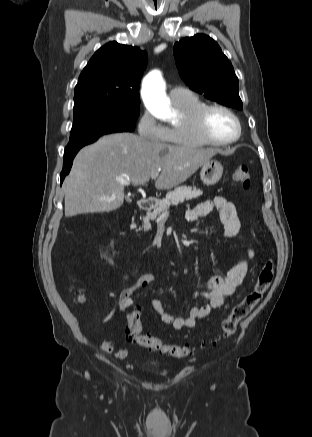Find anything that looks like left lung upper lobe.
Listing matches in <instances>:
<instances>
[{"mask_svg":"<svg viewBox=\"0 0 312 437\" xmlns=\"http://www.w3.org/2000/svg\"><path fill=\"white\" fill-rule=\"evenodd\" d=\"M173 52L179 74L192 90L225 106L243 108L233 66L212 38L205 34L183 38Z\"/></svg>","mask_w":312,"mask_h":437,"instance_id":"left-lung-upper-lobe-1","label":"left lung upper lobe"}]
</instances>
